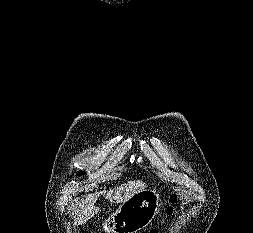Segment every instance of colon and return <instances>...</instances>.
I'll return each mask as SVG.
<instances>
[{"label":"colon","mask_w":253,"mask_h":233,"mask_svg":"<svg viewBox=\"0 0 253 233\" xmlns=\"http://www.w3.org/2000/svg\"><path fill=\"white\" fill-rule=\"evenodd\" d=\"M178 201V196L176 194H172L170 196V203L171 205L167 208V214L171 215L174 211L173 205L176 204ZM150 233H158L156 229L150 231Z\"/></svg>","instance_id":"obj_1"}]
</instances>
